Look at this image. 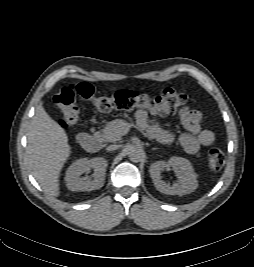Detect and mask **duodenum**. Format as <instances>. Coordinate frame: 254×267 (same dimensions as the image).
Returning <instances> with one entry per match:
<instances>
[{"label":"duodenum","instance_id":"duodenum-1","mask_svg":"<svg viewBox=\"0 0 254 267\" xmlns=\"http://www.w3.org/2000/svg\"><path fill=\"white\" fill-rule=\"evenodd\" d=\"M77 142L88 152H97L101 148V140L94 133H80Z\"/></svg>","mask_w":254,"mask_h":267}]
</instances>
